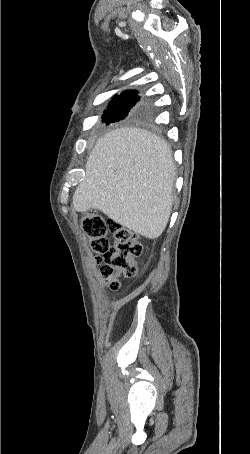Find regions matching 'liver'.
Returning a JSON list of instances; mask_svg holds the SVG:
<instances>
[{"instance_id": "6515ba94", "label": "liver", "mask_w": 250, "mask_h": 454, "mask_svg": "<svg viewBox=\"0 0 250 454\" xmlns=\"http://www.w3.org/2000/svg\"><path fill=\"white\" fill-rule=\"evenodd\" d=\"M174 182L172 152L161 137L119 128L97 141L72 204L78 212L98 209L123 227L155 239L169 221Z\"/></svg>"}]
</instances>
